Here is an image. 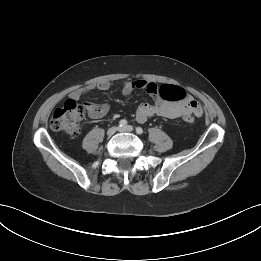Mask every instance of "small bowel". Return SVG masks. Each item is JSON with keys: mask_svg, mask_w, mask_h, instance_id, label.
<instances>
[{"mask_svg": "<svg viewBox=\"0 0 261 261\" xmlns=\"http://www.w3.org/2000/svg\"><path fill=\"white\" fill-rule=\"evenodd\" d=\"M113 86L111 81H101L99 83H91L85 87L78 88L70 93L69 98L78 101L88 92L98 89L100 91H108ZM135 89L146 90L153 98V103H141L136 110L135 119L138 123H145L153 116H161L168 119H176L191 114L195 116L202 115V107L190 95L181 102H169L164 100L160 95V87L152 81L145 79H136L132 81H124L121 83V90L124 95H129ZM84 108L88 116L93 119L104 117L110 110L108 103L94 104L90 102L84 103Z\"/></svg>", "mask_w": 261, "mask_h": 261, "instance_id": "obj_1", "label": "small bowel"}]
</instances>
